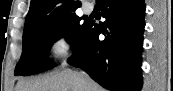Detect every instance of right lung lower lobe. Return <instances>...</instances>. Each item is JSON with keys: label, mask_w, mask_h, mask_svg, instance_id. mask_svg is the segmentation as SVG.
<instances>
[{"label": "right lung lower lobe", "mask_w": 173, "mask_h": 91, "mask_svg": "<svg viewBox=\"0 0 173 91\" xmlns=\"http://www.w3.org/2000/svg\"><path fill=\"white\" fill-rule=\"evenodd\" d=\"M99 5L106 21L89 22L68 62L109 90L140 91L144 0H99Z\"/></svg>", "instance_id": "98d812e1"}]
</instances>
